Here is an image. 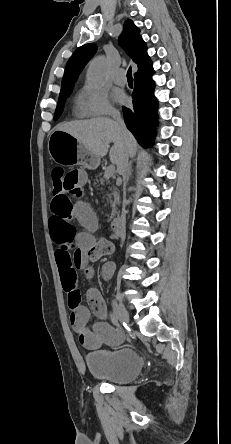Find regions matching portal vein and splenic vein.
Returning a JSON list of instances; mask_svg holds the SVG:
<instances>
[{"label":"portal vein and splenic vein","mask_w":231,"mask_h":444,"mask_svg":"<svg viewBox=\"0 0 231 444\" xmlns=\"http://www.w3.org/2000/svg\"><path fill=\"white\" fill-rule=\"evenodd\" d=\"M114 172H115L114 164L109 165L105 170L104 178L105 179L111 178L114 175Z\"/></svg>","instance_id":"1"}]
</instances>
